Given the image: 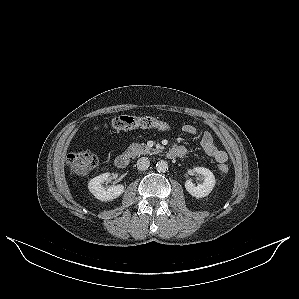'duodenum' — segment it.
I'll return each mask as SVG.
<instances>
[{"label":"duodenum","instance_id":"obj_1","mask_svg":"<svg viewBox=\"0 0 299 299\" xmlns=\"http://www.w3.org/2000/svg\"><path fill=\"white\" fill-rule=\"evenodd\" d=\"M186 153V149L181 146L172 147L168 150L167 155L169 158L182 157ZM115 166L119 169H125L130 163V156L128 154H120L115 158Z\"/></svg>","mask_w":299,"mask_h":299}]
</instances>
